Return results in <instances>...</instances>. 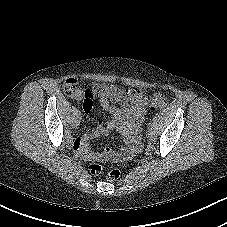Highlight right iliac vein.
Here are the masks:
<instances>
[{
	"label": "right iliac vein",
	"instance_id": "1",
	"mask_svg": "<svg viewBox=\"0 0 227 227\" xmlns=\"http://www.w3.org/2000/svg\"><path fill=\"white\" fill-rule=\"evenodd\" d=\"M80 117L79 116H77L73 121H72V127H74V128H76V127H78L79 126V123H80Z\"/></svg>",
	"mask_w": 227,
	"mask_h": 227
}]
</instances>
